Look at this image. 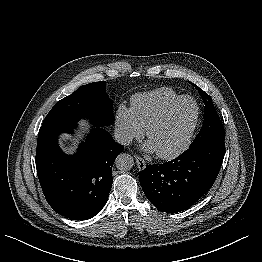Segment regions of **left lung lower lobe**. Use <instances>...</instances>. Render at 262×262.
I'll return each mask as SVG.
<instances>
[{
	"label": "left lung lower lobe",
	"instance_id": "left-lung-lower-lobe-1",
	"mask_svg": "<svg viewBox=\"0 0 262 262\" xmlns=\"http://www.w3.org/2000/svg\"><path fill=\"white\" fill-rule=\"evenodd\" d=\"M225 155V143L189 147L163 164L147 165L139 181L148 200L161 212L177 213L191 207L214 184Z\"/></svg>",
	"mask_w": 262,
	"mask_h": 262
}]
</instances>
